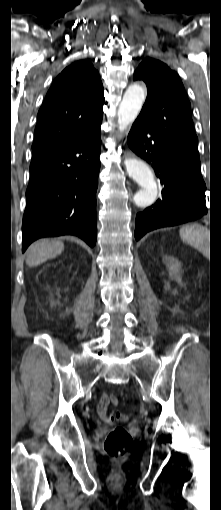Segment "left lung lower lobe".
Here are the masks:
<instances>
[{
    "label": "left lung lower lobe",
    "instance_id": "1",
    "mask_svg": "<svg viewBox=\"0 0 221 510\" xmlns=\"http://www.w3.org/2000/svg\"><path fill=\"white\" fill-rule=\"evenodd\" d=\"M128 145L153 166L163 186L161 199L137 214L136 240L154 229L194 221L207 214L199 156L160 138L139 118L132 125Z\"/></svg>",
    "mask_w": 221,
    "mask_h": 510
}]
</instances>
